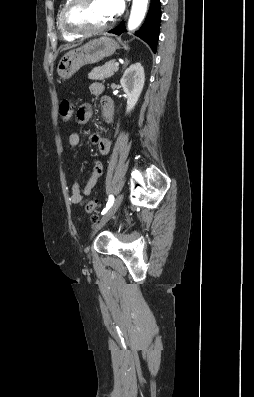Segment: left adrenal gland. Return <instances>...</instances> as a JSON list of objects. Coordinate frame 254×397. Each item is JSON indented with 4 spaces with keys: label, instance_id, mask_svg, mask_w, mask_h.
Returning a JSON list of instances; mask_svg holds the SVG:
<instances>
[{
    "label": "left adrenal gland",
    "instance_id": "left-adrenal-gland-1",
    "mask_svg": "<svg viewBox=\"0 0 254 397\" xmlns=\"http://www.w3.org/2000/svg\"><path fill=\"white\" fill-rule=\"evenodd\" d=\"M128 63H129V60L128 59H125V64H124V68L128 65Z\"/></svg>",
    "mask_w": 254,
    "mask_h": 397
}]
</instances>
